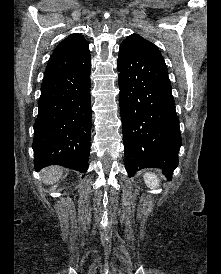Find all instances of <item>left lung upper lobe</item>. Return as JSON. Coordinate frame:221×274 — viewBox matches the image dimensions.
I'll return each instance as SVG.
<instances>
[{"label":"left lung upper lobe","mask_w":221,"mask_h":274,"mask_svg":"<svg viewBox=\"0 0 221 274\" xmlns=\"http://www.w3.org/2000/svg\"><path fill=\"white\" fill-rule=\"evenodd\" d=\"M122 44L129 45L152 59L165 63L157 46L137 34L128 36Z\"/></svg>","instance_id":"obj_1"}]
</instances>
